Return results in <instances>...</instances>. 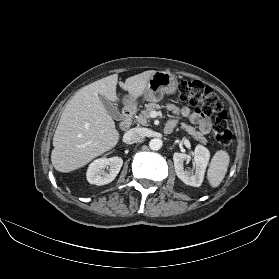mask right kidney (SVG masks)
Here are the masks:
<instances>
[{
    "instance_id": "obj_1",
    "label": "right kidney",
    "mask_w": 279,
    "mask_h": 279,
    "mask_svg": "<svg viewBox=\"0 0 279 279\" xmlns=\"http://www.w3.org/2000/svg\"><path fill=\"white\" fill-rule=\"evenodd\" d=\"M122 165L123 159L117 156L112 158L103 157L96 159L88 167L86 174L87 180L90 184L98 186L108 184L115 179ZM105 168H109V172H106Z\"/></svg>"
}]
</instances>
